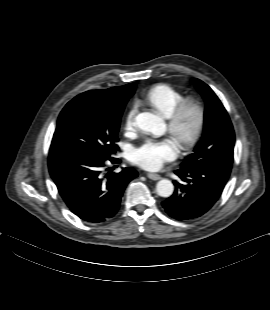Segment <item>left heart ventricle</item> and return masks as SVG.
I'll return each mask as SVG.
<instances>
[{"mask_svg": "<svg viewBox=\"0 0 270 310\" xmlns=\"http://www.w3.org/2000/svg\"><path fill=\"white\" fill-rule=\"evenodd\" d=\"M191 122H192V120L189 118V119L187 120V125H190Z\"/></svg>", "mask_w": 270, "mask_h": 310, "instance_id": "obj_1", "label": "left heart ventricle"}]
</instances>
